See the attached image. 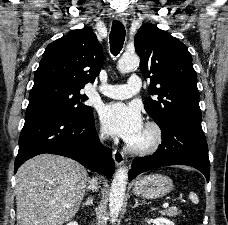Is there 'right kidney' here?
<instances>
[{
  "mask_svg": "<svg viewBox=\"0 0 228 225\" xmlns=\"http://www.w3.org/2000/svg\"><path fill=\"white\" fill-rule=\"evenodd\" d=\"M68 225H78V223H76V221H72V223H68Z\"/></svg>",
  "mask_w": 228,
  "mask_h": 225,
  "instance_id": "ca27d5eb",
  "label": "right kidney"
}]
</instances>
